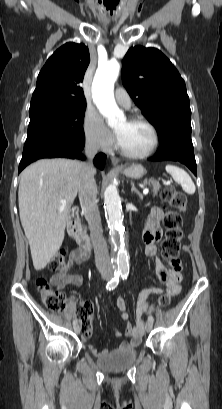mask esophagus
<instances>
[{"label": "esophagus", "instance_id": "obj_1", "mask_svg": "<svg viewBox=\"0 0 222 409\" xmlns=\"http://www.w3.org/2000/svg\"><path fill=\"white\" fill-rule=\"evenodd\" d=\"M111 162L114 167H119V162H120L119 158L113 156L111 157Z\"/></svg>", "mask_w": 222, "mask_h": 409}]
</instances>
